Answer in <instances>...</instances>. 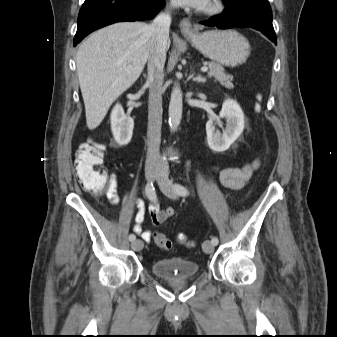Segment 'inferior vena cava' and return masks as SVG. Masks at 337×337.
<instances>
[{
    "instance_id": "602c4592",
    "label": "inferior vena cava",
    "mask_w": 337,
    "mask_h": 337,
    "mask_svg": "<svg viewBox=\"0 0 337 337\" xmlns=\"http://www.w3.org/2000/svg\"><path fill=\"white\" fill-rule=\"evenodd\" d=\"M171 7H175V5L171 4ZM170 24L171 15L167 9L165 12L158 14L153 22L148 25V29L152 33L146 82L149 87L146 157L148 164L159 163L160 157L163 68L166 60Z\"/></svg>"
}]
</instances>
